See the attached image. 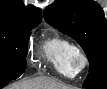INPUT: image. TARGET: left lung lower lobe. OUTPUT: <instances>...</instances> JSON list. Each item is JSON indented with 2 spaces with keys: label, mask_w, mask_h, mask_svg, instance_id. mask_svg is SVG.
Returning a JSON list of instances; mask_svg holds the SVG:
<instances>
[{
  "label": "left lung lower lobe",
  "mask_w": 107,
  "mask_h": 89,
  "mask_svg": "<svg viewBox=\"0 0 107 89\" xmlns=\"http://www.w3.org/2000/svg\"><path fill=\"white\" fill-rule=\"evenodd\" d=\"M86 89H107V82L94 85Z\"/></svg>",
  "instance_id": "obj_1"
}]
</instances>
